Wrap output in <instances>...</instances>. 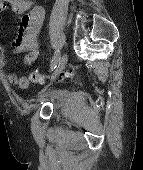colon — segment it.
I'll return each mask as SVG.
<instances>
[{
    "label": "colon",
    "mask_w": 143,
    "mask_h": 170,
    "mask_svg": "<svg viewBox=\"0 0 143 170\" xmlns=\"http://www.w3.org/2000/svg\"><path fill=\"white\" fill-rule=\"evenodd\" d=\"M1 1L2 0H0V2ZM66 77H68V75H66ZM47 78H48V75L46 73L39 72V71H34L29 76V80L33 84H42Z\"/></svg>",
    "instance_id": "5ec220e1"
}]
</instances>
